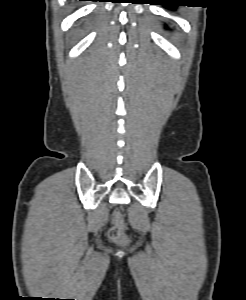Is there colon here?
<instances>
[{
    "instance_id": "colon-1",
    "label": "colon",
    "mask_w": 246,
    "mask_h": 300,
    "mask_svg": "<svg viewBox=\"0 0 246 300\" xmlns=\"http://www.w3.org/2000/svg\"><path fill=\"white\" fill-rule=\"evenodd\" d=\"M113 226L108 230V237L115 243L126 242L125 223L122 214L116 210L113 214Z\"/></svg>"
}]
</instances>
